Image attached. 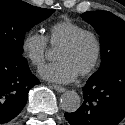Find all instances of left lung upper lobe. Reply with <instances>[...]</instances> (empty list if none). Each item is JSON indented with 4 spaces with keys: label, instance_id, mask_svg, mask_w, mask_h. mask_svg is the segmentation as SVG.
Here are the masks:
<instances>
[{
    "label": "left lung upper lobe",
    "instance_id": "5c2ea615",
    "mask_svg": "<svg viewBox=\"0 0 125 125\" xmlns=\"http://www.w3.org/2000/svg\"><path fill=\"white\" fill-rule=\"evenodd\" d=\"M81 17L101 35V65L93 75L125 64V21L108 11L85 12Z\"/></svg>",
    "mask_w": 125,
    "mask_h": 125
}]
</instances>
